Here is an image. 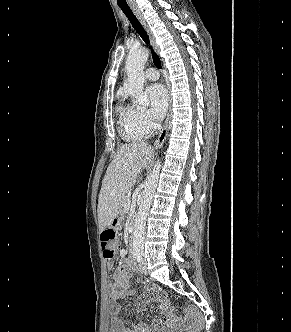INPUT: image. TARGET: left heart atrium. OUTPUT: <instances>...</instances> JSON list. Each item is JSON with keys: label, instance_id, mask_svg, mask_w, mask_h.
Wrapping results in <instances>:
<instances>
[{"label": "left heart atrium", "instance_id": "1", "mask_svg": "<svg viewBox=\"0 0 291 332\" xmlns=\"http://www.w3.org/2000/svg\"><path fill=\"white\" fill-rule=\"evenodd\" d=\"M146 95L149 99L150 117L159 121L165 115L168 106V94L162 84H152L146 89Z\"/></svg>", "mask_w": 291, "mask_h": 332}]
</instances>
